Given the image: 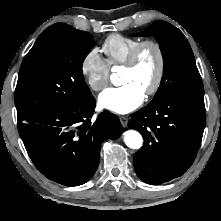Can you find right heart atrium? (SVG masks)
<instances>
[{
	"label": "right heart atrium",
	"instance_id": "d8ad5b80",
	"mask_svg": "<svg viewBox=\"0 0 221 221\" xmlns=\"http://www.w3.org/2000/svg\"><path fill=\"white\" fill-rule=\"evenodd\" d=\"M80 71L88 87L95 92L103 90L109 82L110 66L97 48L83 56Z\"/></svg>",
	"mask_w": 221,
	"mask_h": 221
}]
</instances>
